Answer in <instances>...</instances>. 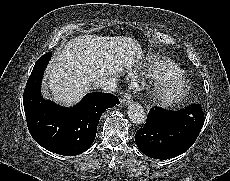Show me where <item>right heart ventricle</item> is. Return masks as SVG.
Instances as JSON below:
<instances>
[{
    "label": "right heart ventricle",
    "mask_w": 230,
    "mask_h": 181,
    "mask_svg": "<svg viewBox=\"0 0 230 181\" xmlns=\"http://www.w3.org/2000/svg\"><path fill=\"white\" fill-rule=\"evenodd\" d=\"M147 74L153 79H159L163 76L173 74L175 72H181L182 70L174 63L164 59L152 60L147 69Z\"/></svg>",
    "instance_id": "obj_1"
}]
</instances>
